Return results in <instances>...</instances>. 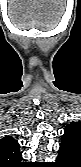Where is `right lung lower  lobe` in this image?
Returning <instances> with one entry per match:
<instances>
[{"label": "right lung lower lobe", "mask_w": 81, "mask_h": 167, "mask_svg": "<svg viewBox=\"0 0 81 167\" xmlns=\"http://www.w3.org/2000/svg\"><path fill=\"white\" fill-rule=\"evenodd\" d=\"M24 166H26V165L23 164V165H20V166H18V167H24Z\"/></svg>", "instance_id": "98d812e1"}]
</instances>
